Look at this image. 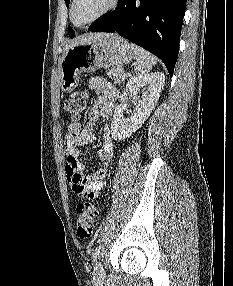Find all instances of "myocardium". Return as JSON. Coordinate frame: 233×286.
I'll use <instances>...</instances> for the list:
<instances>
[{
	"label": "myocardium",
	"instance_id": "myocardium-1",
	"mask_svg": "<svg viewBox=\"0 0 233 286\" xmlns=\"http://www.w3.org/2000/svg\"><path fill=\"white\" fill-rule=\"evenodd\" d=\"M77 0H72L71 1V6H70V20L71 22L77 26V27H85V26H89L92 23L96 22L97 20H99L100 18H102L103 16L107 15L108 13H110L111 11H113L119 4V0H110L109 5L102 11L100 12L97 16H95L94 18H92L91 20L83 23V24H78L75 19H74V8H75V4H76Z\"/></svg>",
	"mask_w": 233,
	"mask_h": 286
}]
</instances>
